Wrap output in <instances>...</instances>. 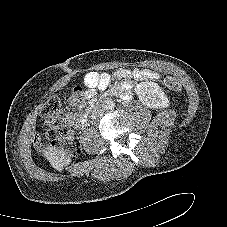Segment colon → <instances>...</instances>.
<instances>
[{"instance_id": "5ec220e1", "label": "colon", "mask_w": 227, "mask_h": 227, "mask_svg": "<svg viewBox=\"0 0 227 227\" xmlns=\"http://www.w3.org/2000/svg\"><path fill=\"white\" fill-rule=\"evenodd\" d=\"M163 82L170 91L180 92L181 85L174 76L166 75ZM84 94L81 87H75L71 92L70 101L80 103ZM40 116L44 121L45 132L35 136V145L41 150H45L50 145L70 155H77L80 151V143L67 123L66 110L61 100L56 96L48 98L41 107Z\"/></svg>"}]
</instances>
